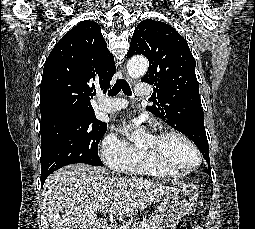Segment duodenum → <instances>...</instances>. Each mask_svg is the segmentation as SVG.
I'll list each match as a JSON object with an SVG mask.
<instances>
[{
  "label": "duodenum",
  "mask_w": 255,
  "mask_h": 229,
  "mask_svg": "<svg viewBox=\"0 0 255 229\" xmlns=\"http://www.w3.org/2000/svg\"><path fill=\"white\" fill-rule=\"evenodd\" d=\"M108 229H120L119 225H110Z\"/></svg>",
  "instance_id": "1"
}]
</instances>
